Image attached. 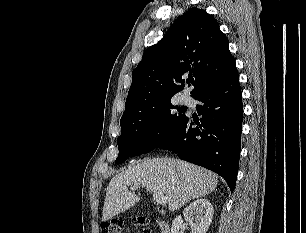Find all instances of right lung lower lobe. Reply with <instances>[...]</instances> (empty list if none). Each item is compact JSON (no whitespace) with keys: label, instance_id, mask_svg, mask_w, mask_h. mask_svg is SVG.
Wrapping results in <instances>:
<instances>
[{"label":"right lung lower lobe","instance_id":"obj_1","mask_svg":"<svg viewBox=\"0 0 306 233\" xmlns=\"http://www.w3.org/2000/svg\"><path fill=\"white\" fill-rule=\"evenodd\" d=\"M197 100L203 103L196 107L198 114L202 115L200 122H193L187 116L179 129L158 147L216 172L233 191L238 173L243 116L238 71L206 90ZM194 123L198 125L195 128L192 127Z\"/></svg>","mask_w":306,"mask_h":233}]
</instances>
